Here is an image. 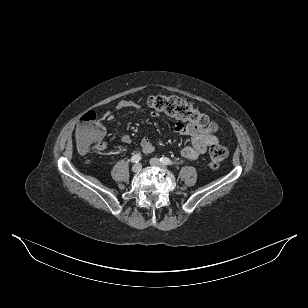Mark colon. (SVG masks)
Wrapping results in <instances>:
<instances>
[{
    "instance_id": "1",
    "label": "colon",
    "mask_w": 308,
    "mask_h": 308,
    "mask_svg": "<svg viewBox=\"0 0 308 308\" xmlns=\"http://www.w3.org/2000/svg\"><path fill=\"white\" fill-rule=\"evenodd\" d=\"M147 105L155 113H164L184 123L196 125L208 131H215L217 126L210 118L190 103L177 96L154 95L148 98ZM104 127L94 111L86 112L80 119L75 136L80 151L98 149L103 142ZM227 156V149L222 145H213L209 151V165L219 168Z\"/></svg>"
}]
</instances>
